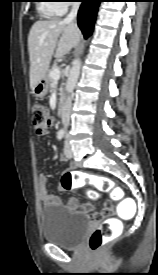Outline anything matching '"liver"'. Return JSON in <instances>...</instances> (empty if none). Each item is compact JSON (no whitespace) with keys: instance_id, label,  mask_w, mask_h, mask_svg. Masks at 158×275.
<instances>
[{"instance_id":"6515ba94","label":"liver","mask_w":158,"mask_h":275,"mask_svg":"<svg viewBox=\"0 0 158 275\" xmlns=\"http://www.w3.org/2000/svg\"><path fill=\"white\" fill-rule=\"evenodd\" d=\"M81 38L77 25L58 19L36 21L29 32L30 88L46 75L52 56L64 57ZM55 51V53H54Z\"/></svg>"}]
</instances>
